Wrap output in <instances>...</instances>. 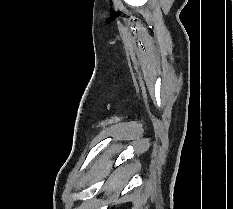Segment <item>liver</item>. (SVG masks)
Instances as JSON below:
<instances>
[{"label":"liver","mask_w":233,"mask_h":209,"mask_svg":"<svg viewBox=\"0 0 233 209\" xmlns=\"http://www.w3.org/2000/svg\"><path fill=\"white\" fill-rule=\"evenodd\" d=\"M110 163H107V166H109ZM120 185V181L118 179V174H115L112 176L109 183L105 186V191H109L111 189L115 190Z\"/></svg>","instance_id":"6515ba94"}]
</instances>
